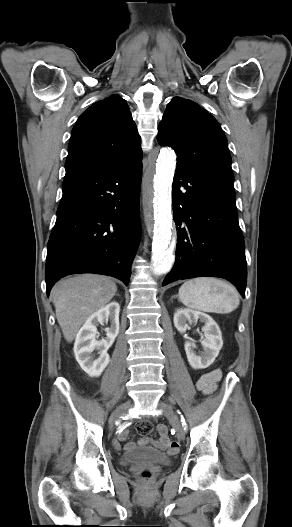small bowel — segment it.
I'll return each instance as SVG.
<instances>
[{"label": "small bowel", "mask_w": 292, "mask_h": 527, "mask_svg": "<svg viewBox=\"0 0 292 527\" xmlns=\"http://www.w3.org/2000/svg\"><path fill=\"white\" fill-rule=\"evenodd\" d=\"M221 377L220 370H213L209 373L204 374L198 381L197 387L203 394H210L216 388V384ZM170 429L166 421H161L159 423L158 433L159 440H152L147 436L142 437L138 444L141 446H155L161 449L175 451L178 447L177 443L171 441L168 437ZM129 433V427L125 431L118 433L117 438L113 442V446L116 450H121L122 442L126 440ZM127 450H132L135 448L134 443H128L125 447Z\"/></svg>", "instance_id": "c3829d8e"}]
</instances>
